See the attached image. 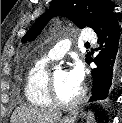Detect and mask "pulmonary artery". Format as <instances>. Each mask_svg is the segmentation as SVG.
I'll return each instance as SVG.
<instances>
[{
	"label": "pulmonary artery",
	"instance_id": "obj_1",
	"mask_svg": "<svg viewBox=\"0 0 122 123\" xmlns=\"http://www.w3.org/2000/svg\"><path fill=\"white\" fill-rule=\"evenodd\" d=\"M96 38V34L91 30L85 29L82 31L81 39L84 42L93 43L96 41ZM70 46L71 42L69 39L61 40L48 51L47 57L52 60L60 59L69 50Z\"/></svg>",
	"mask_w": 122,
	"mask_h": 123
}]
</instances>
